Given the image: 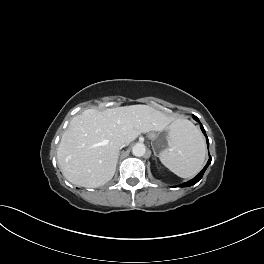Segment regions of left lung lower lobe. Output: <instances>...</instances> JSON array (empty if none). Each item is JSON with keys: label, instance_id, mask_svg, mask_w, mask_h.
I'll list each match as a JSON object with an SVG mask.
<instances>
[{"label": "left lung lower lobe", "instance_id": "obj_1", "mask_svg": "<svg viewBox=\"0 0 264 264\" xmlns=\"http://www.w3.org/2000/svg\"><path fill=\"white\" fill-rule=\"evenodd\" d=\"M193 118H194L196 121H198V122L200 123V121L198 120V118H197L196 116L193 115ZM200 128H201L202 132L204 133V135L206 136L207 143L209 144L208 137H207V135H206L205 129H204V127L202 126L201 123H200ZM210 163H211V157H210V159L208 160V163H207V165L204 167V169H203V170H202V171H201V172H200V173H199L194 179H192V180H190V181H188V182L183 183V184L181 185V187H189V186H192V185L196 184V183L202 178V176H203V174H204L206 168L208 167V165H209Z\"/></svg>", "mask_w": 264, "mask_h": 264}]
</instances>
